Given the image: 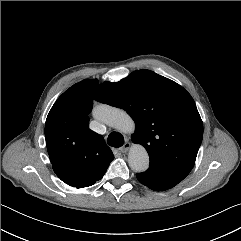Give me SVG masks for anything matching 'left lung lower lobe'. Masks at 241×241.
Segmentation results:
<instances>
[{
    "label": "left lung lower lobe",
    "instance_id": "0a47b994",
    "mask_svg": "<svg viewBox=\"0 0 241 241\" xmlns=\"http://www.w3.org/2000/svg\"><path fill=\"white\" fill-rule=\"evenodd\" d=\"M136 177L140 183L155 191L168 190L184 179L181 176L152 167L143 173H137Z\"/></svg>",
    "mask_w": 241,
    "mask_h": 241
}]
</instances>
